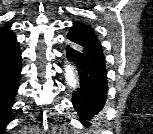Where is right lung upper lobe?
Listing matches in <instances>:
<instances>
[{
    "instance_id": "obj_1",
    "label": "right lung upper lobe",
    "mask_w": 153,
    "mask_h": 134,
    "mask_svg": "<svg viewBox=\"0 0 153 134\" xmlns=\"http://www.w3.org/2000/svg\"><path fill=\"white\" fill-rule=\"evenodd\" d=\"M16 42L15 35L10 31V27L0 29V49L5 48Z\"/></svg>"
}]
</instances>
